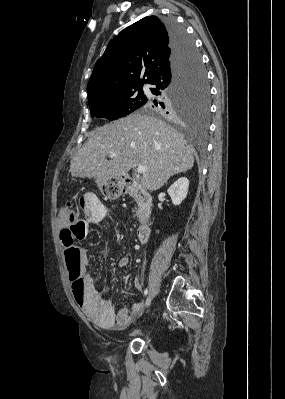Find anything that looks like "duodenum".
Listing matches in <instances>:
<instances>
[{
  "instance_id": "1",
  "label": "duodenum",
  "mask_w": 285,
  "mask_h": 399,
  "mask_svg": "<svg viewBox=\"0 0 285 399\" xmlns=\"http://www.w3.org/2000/svg\"><path fill=\"white\" fill-rule=\"evenodd\" d=\"M125 190L129 196L136 199L142 206V217L137 231V239L141 243L147 242L153 225L152 198L140 185L135 183H127Z\"/></svg>"
}]
</instances>
